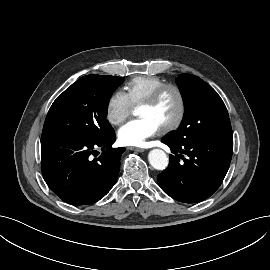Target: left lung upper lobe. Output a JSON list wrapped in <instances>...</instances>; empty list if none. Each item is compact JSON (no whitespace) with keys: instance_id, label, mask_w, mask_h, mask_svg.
<instances>
[{"instance_id":"obj_1","label":"left lung upper lobe","mask_w":270,"mask_h":270,"mask_svg":"<svg viewBox=\"0 0 270 270\" xmlns=\"http://www.w3.org/2000/svg\"><path fill=\"white\" fill-rule=\"evenodd\" d=\"M183 96L185 113L178 130L168 136L183 144L196 136L233 138L226 106L217 92L205 81L191 74H181L176 80Z\"/></svg>"}]
</instances>
